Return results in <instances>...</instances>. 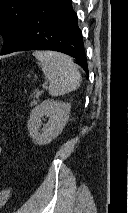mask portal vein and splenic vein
<instances>
[{
	"mask_svg": "<svg viewBox=\"0 0 128 213\" xmlns=\"http://www.w3.org/2000/svg\"><path fill=\"white\" fill-rule=\"evenodd\" d=\"M44 89H47V87H44ZM42 92H43V90H42V91L36 90V91L34 92V96H35V97H39L40 94H41Z\"/></svg>",
	"mask_w": 128,
	"mask_h": 213,
	"instance_id": "obj_1",
	"label": "portal vein and splenic vein"
}]
</instances>
